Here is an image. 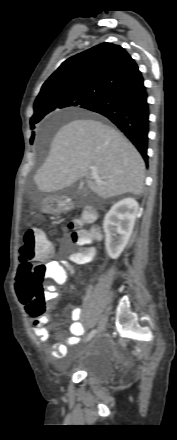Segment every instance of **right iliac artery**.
I'll return each mask as SVG.
<instances>
[{"instance_id": "82829eb1", "label": "right iliac artery", "mask_w": 177, "mask_h": 440, "mask_svg": "<svg viewBox=\"0 0 177 440\" xmlns=\"http://www.w3.org/2000/svg\"><path fill=\"white\" fill-rule=\"evenodd\" d=\"M96 330H92L89 334H88V336H87V338H86V341H88V340H90L95 334H96Z\"/></svg>"}]
</instances>
